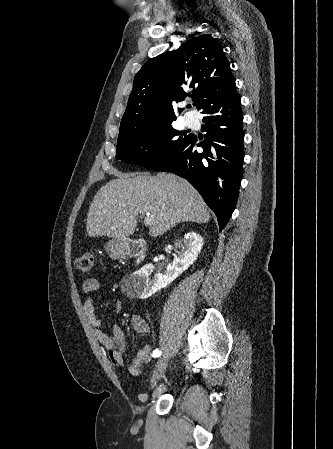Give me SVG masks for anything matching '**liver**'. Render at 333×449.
<instances>
[{
	"label": "liver",
	"mask_w": 333,
	"mask_h": 449,
	"mask_svg": "<svg viewBox=\"0 0 333 449\" xmlns=\"http://www.w3.org/2000/svg\"><path fill=\"white\" fill-rule=\"evenodd\" d=\"M100 188L90 204L87 233L125 240L132 235L139 214L150 213L149 234H164L179 222L207 223L210 214L197 190L185 179L159 173L118 175Z\"/></svg>",
	"instance_id": "liver-1"
}]
</instances>
